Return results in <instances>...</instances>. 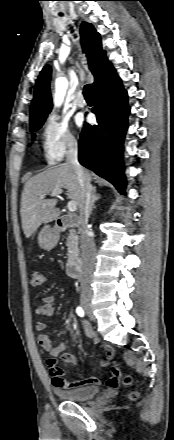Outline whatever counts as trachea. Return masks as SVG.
Listing matches in <instances>:
<instances>
[{"label": "trachea", "mask_w": 174, "mask_h": 440, "mask_svg": "<svg viewBox=\"0 0 174 440\" xmlns=\"http://www.w3.org/2000/svg\"><path fill=\"white\" fill-rule=\"evenodd\" d=\"M83 94H84L85 98H93L94 97V93H93V89H92L91 84H87L84 86Z\"/></svg>", "instance_id": "3493384b"}]
</instances>
